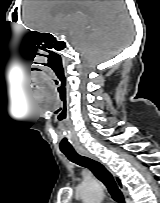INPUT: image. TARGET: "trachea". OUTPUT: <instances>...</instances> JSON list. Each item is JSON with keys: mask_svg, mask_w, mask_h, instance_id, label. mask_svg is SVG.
Masks as SVG:
<instances>
[{"mask_svg": "<svg viewBox=\"0 0 160 203\" xmlns=\"http://www.w3.org/2000/svg\"><path fill=\"white\" fill-rule=\"evenodd\" d=\"M66 157L82 166L88 168L104 185L107 187L108 192L117 203H125L123 194L118 188L110 172L99 162L87 157L79 155L75 150H62Z\"/></svg>", "mask_w": 160, "mask_h": 203, "instance_id": "obj_1", "label": "trachea"}]
</instances>
